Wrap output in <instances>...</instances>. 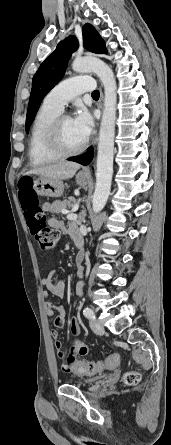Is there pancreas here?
<instances>
[{
    "instance_id": "1",
    "label": "pancreas",
    "mask_w": 171,
    "mask_h": 445,
    "mask_svg": "<svg viewBox=\"0 0 171 445\" xmlns=\"http://www.w3.org/2000/svg\"><path fill=\"white\" fill-rule=\"evenodd\" d=\"M73 207V201L72 200H64V201H55L52 204V211L54 213H61L62 210H67Z\"/></svg>"
}]
</instances>
